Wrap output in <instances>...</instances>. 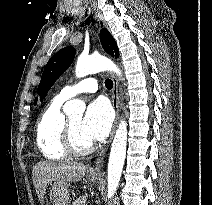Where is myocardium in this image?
Returning a JSON list of instances; mask_svg holds the SVG:
<instances>
[{
  "label": "myocardium",
  "mask_w": 212,
  "mask_h": 205,
  "mask_svg": "<svg viewBox=\"0 0 212 205\" xmlns=\"http://www.w3.org/2000/svg\"><path fill=\"white\" fill-rule=\"evenodd\" d=\"M62 140L64 149L68 152V154L73 156L87 155L94 149L92 143H89L85 146H80L77 144L72 132L70 121L68 119L65 121Z\"/></svg>",
  "instance_id": "myocardium-1"
}]
</instances>
